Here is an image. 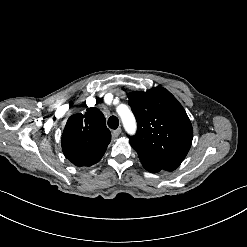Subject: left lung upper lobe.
<instances>
[{"label":"left lung upper lobe","instance_id":"obj_1","mask_svg":"<svg viewBox=\"0 0 247 247\" xmlns=\"http://www.w3.org/2000/svg\"><path fill=\"white\" fill-rule=\"evenodd\" d=\"M128 104L138 123L130 144L142 165L173 171L186 157L193 138L191 122L177 99L157 86L146 92H132Z\"/></svg>","mask_w":247,"mask_h":247}]
</instances>
